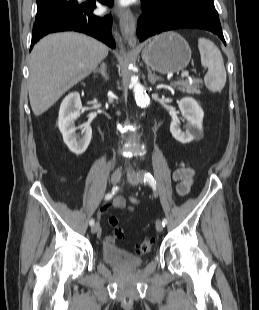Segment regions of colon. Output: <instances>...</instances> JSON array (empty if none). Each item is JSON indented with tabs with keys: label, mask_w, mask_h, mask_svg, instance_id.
Listing matches in <instances>:
<instances>
[{
	"label": "colon",
	"mask_w": 259,
	"mask_h": 310,
	"mask_svg": "<svg viewBox=\"0 0 259 310\" xmlns=\"http://www.w3.org/2000/svg\"><path fill=\"white\" fill-rule=\"evenodd\" d=\"M108 222L112 227H114L113 237L119 240L122 239L124 237V231L122 228L118 227L117 217H109ZM154 244L155 240L153 238H146L136 245L135 252L140 255L147 254L153 249Z\"/></svg>",
	"instance_id": "5ec220e1"
}]
</instances>
